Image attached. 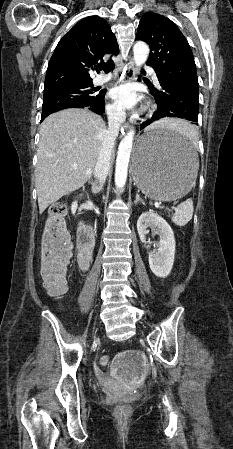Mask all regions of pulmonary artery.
Wrapping results in <instances>:
<instances>
[{
	"label": "pulmonary artery",
	"mask_w": 233,
	"mask_h": 449,
	"mask_svg": "<svg viewBox=\"0 0 233 449\" xmlns=\"http://www.w3.org/2000/svg\"><path fill=\"white\" fill-rule=\"evenodd\" d=\"M148 72L152 75L153 81L155 82V84L160 87L157 76L155 74V72L151 69L148 68ZM112 75H98L95 77V79L93 80V84L94 85H102L106 82H108L109 80H111Z\"/></svg>",
	"instance_id": "e3ab8cb5"
}]
</instances>
